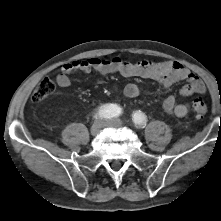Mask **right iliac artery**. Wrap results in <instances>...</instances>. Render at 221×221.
Wrapping results in <instances>:
<instances>
[{
    "instance_id": "1",
    "label": "right iliac artery",
    "mask_w": 221,
    "mask_h": 221,
    "mask_svg": "<svg viewBox=\"0 0 221 221\" xmlns=\"http://www.w3.org/2000/svg\"><path fill=\"white\" fill-rule=\"evenodd\" d=\"M122 110L116 104H106L99 108L98 112L94 115V118H106L111 119L121 114Z\"/></svg>"
}]
</instances>
